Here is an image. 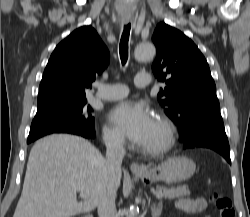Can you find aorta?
Returning a JSON list of instances; mask_svg holds the SVG:
<instances>
[{"mask_svg":"<svg viewBox=\"0 0 250 217\" xmlns=\"http://www.w3.org/2000/svg\"><path fill=\"white\" fill-rule=\"evenodd\" d=\"M155 55V48L150 43L139 44L135 49V58L138 60L151 59ZM136 206L131 205L127 210L126 217H135Z\"/></svg>","mask_w":250,"mask_h":217,"instance_id":"aorta-1","label":"aorta"}]
</instances>
